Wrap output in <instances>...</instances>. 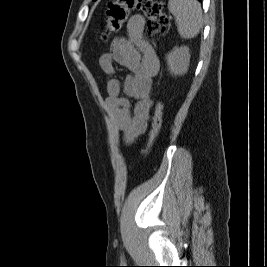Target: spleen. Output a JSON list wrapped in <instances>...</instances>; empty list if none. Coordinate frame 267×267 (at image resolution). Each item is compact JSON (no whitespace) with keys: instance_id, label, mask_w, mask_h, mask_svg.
Returning <instances> with one entry per match:
<instances>
[{"instance_id":"spleen-1","label":"spleen","mask_w":267,"mask_h":267,"mask_svg":"<svg viewBox=\"0 0 267 267\" xmlns=\"http://www.w3.org/2000/svg\"><path fill=\"white\" fill-rule=\"evenodd\" d=\"M168 10L175 16L177 30L182 38H193L199 33L203 16L197 0H169Z\"/></svg>"}]
</instances>
